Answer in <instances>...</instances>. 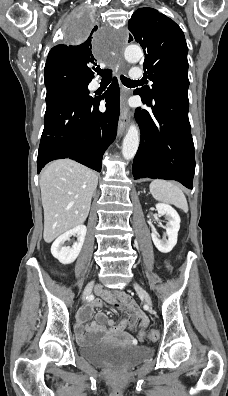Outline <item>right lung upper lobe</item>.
<instances>
[{
    "label": "right lung upper lobe",
    "mask_w": 228,
    "mask_h": 396,
    "mask_svg": "<svg viewBox=\"0 0 228 396\" xmlns=\"http://www.w3.org/2000/svg\"><path fill=\"white\" fill-rule=\"evenodd\" d=\"M91 35L81 44H60L53 47L47 57L45 75L73 73L91 81L94 77L92 65H96L92 54Z\"/></svg>",
    "instance_id": "obj_1"
}]
</instances>
